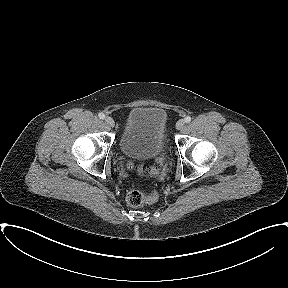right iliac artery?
<instances>
[{
	"label": "right iliac artery",
	"instance_id": "obj_1",
	"mask_svg": "<svg viewBox=\"0 0 288 288\" xmlns=\"http://www.w3.org/2000/svg\"><path fill=\"white\" fill-rule=\"evenodd\" d=\"M98 116H99V118H100V119H104V118H105V115H104V113H99V115H98Z\"/></svg>",
	"mask_w": 288,
	"mask_h": 288
}]
</instances>
